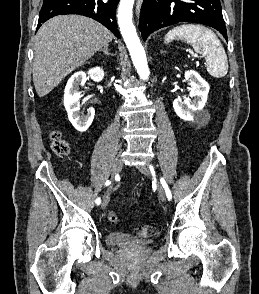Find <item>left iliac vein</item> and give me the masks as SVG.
Here are the masks:
<instances>
[{
  "instance_id": "1",
  "label": "left iliac vein",
  "mask_w": 259,
  "mask_h": 294,
  "mask_svg": "<svg viewBox=\"0 0 259 294\" xmlns=\"http://www.w3.org/2000/svg\"><path fill=\"white\" fill-rule=\"evenodd\" d=\"M138 170H139L142 174H144V175H146V176H151V175H152L151 170H150V165H149V164H145V165H140V166H138ZM158 194H159L160 199H161L163 202H165V201H166V195H165L164 189H163L161 186L158 187Z\"/></svg>"
}]
</instances>
